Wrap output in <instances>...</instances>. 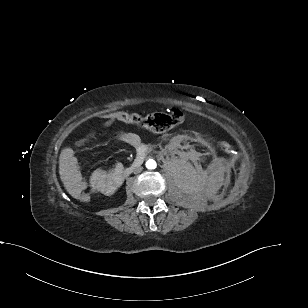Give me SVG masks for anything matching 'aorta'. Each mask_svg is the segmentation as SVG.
I'll return each mask as SVG.
<instances>
[{
    "instance_id": "762f6f07",
    "label": "aorta",
    "mask_w": 308,
    "mask_h": 308,
    "mask_svg": "<svg viewBox=\"0 0 308 308\" xmlns=\"http://www.w3.org/2000/svg\"><path fill=\"white\" fill-rule=\"evenodd\" d=\"M156 166H157L156 161L153 160V159H149V160L146 162V168H147V169H155Z\"/></svg>"
}]
</instances>
